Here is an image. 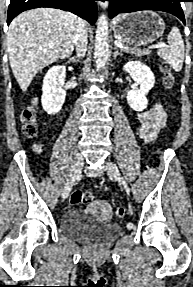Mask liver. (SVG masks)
<instances>
[{
	"label": "liver",
	"instance_id": "1",
	"mask_svg": "<svg viewBox=\"0 0 193 287\" xmlns=\"http://www.w3.org/2000/svg\"><path fill=\"white\" fill-rule=\"evenodd\" d=\"M77 25L74 14L53 8L25 11L11 22L7 51L22 91L41 69L71 55Z\"/></svg>",
	"mask_w": 193,
	"mask_h": 287
}]
</instances>
